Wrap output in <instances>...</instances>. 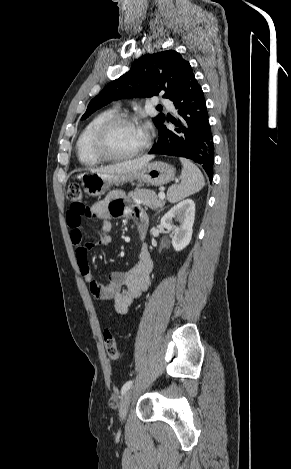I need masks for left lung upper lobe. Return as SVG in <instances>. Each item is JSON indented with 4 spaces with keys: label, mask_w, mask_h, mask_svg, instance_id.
<instances>
[{
    "label": "left lung upper lobe",
    "mask_w": 291,
    "mask_h": 469,
    "mask_svg": "<svg viewBox=\"0 0 291 469\" xmlns=\"http://www.w3.org/2000/svg\"><path fill=\"white\" fill-rule=\"evenodd\" d=\"M189 68V62L174 50L146 54L134 62L126 74L109 83L90 101L82 119L118 99L151 97L160 92L164 98H170L181 85ZM153 121L160 128L165 121L164 114H159Z\"/></svg>",
    "instance_id": "5c2ea615"
}]
</instances>
